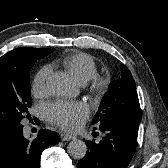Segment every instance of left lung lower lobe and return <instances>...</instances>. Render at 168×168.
I'll return each mask as SVG.
<instances>
[{
  "label": "left lung lower lobe",
  "mask_w": 168,
  "mask_h": 168,
  "mask_svg": "<svg viewBox=\"0 0 168 168\" xmlns=\"http://www.w3.org/2000/svg\"><path fill=\"white\" fill-rule=\"evenodd\" d=\"M138 127L125 119L101 124L103 138L98 143L84 139L88 151L78 168H127L136 150Z\"/></svg>",
  "instance_id": "obj_1"
}]
</instances>
